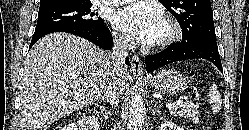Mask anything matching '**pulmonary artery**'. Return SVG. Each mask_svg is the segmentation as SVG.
<instances>
[{
  "instance_id": "1",
  "label": "pulmonary artery",
  "mask_w": 249,
  "mask_h": 130,
  "mask_svg": "<svg viewBox=\"0 0 249 130\" xmlns=\"http://www.w3.org/2000/svg\"><path fill=\"white\" fill-rule=\"evenodd\" d=\"M130 1L132 0H103V2H106L107 4L110 5H122Z\"/></svg>"
}]
</instances>
